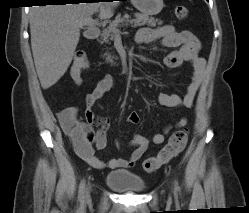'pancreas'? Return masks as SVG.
I'll list each match as a JSON object with an SVG mask.
<instances>
[{"instance_id":"1","label":"pancreas","mask_w":249,"mask_h":213,"mask_svg":"<svg viewBox=\"0 0 249 213\" xmlns=\"http://www.w3.org/2000/svg\"><path fill=\"white\" fill-rule=\"evenodd\" d=\"M135 19L130 22L133 23V27H140L144 25L155 27L157 24L162 25V21L155 19L153 17H149L148 15L141 13H134ZM129 16L125 14L123 17L121 15L116 16L115 20H113L109 26L102 30L101 39L105 43H109V41L113 40L114 35L119 32L118 27L125 22ZM118 30V32H117ZM106 61L113 63V57L110 54L106 55Z\"/></svg>"}]
</instances>
